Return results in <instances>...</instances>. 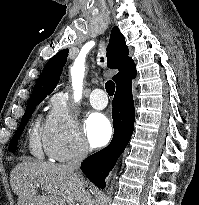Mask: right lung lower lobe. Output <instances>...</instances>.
Segmentation results:
<instances>
[{"label": "right lung lower lobe", "instance_id": "obj_1", "mask_svg": "<svg viewBox=\"0 0 199 205\" xmlns=\"http://www.w3.org/2000/svg\"><path fill=\"white\" fill-rule=\"evenodd\" d=\"M135 76L126 79L116 88L112 101L114 135L111 143L81 163L82 172L99 188H105V178L123 153L133 133L135 110L131 80Z\"/></svg>", "mask_w": 199, "mask_h": 205}]
</instances>
